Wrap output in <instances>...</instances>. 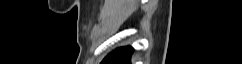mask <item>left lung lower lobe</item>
<instances>
[{"instance_id": "0a47b994", "label": "left lung lower lobe", "mask_w": 242, "mask_h": 64, "mask_svg": "<svg viewBox=\"0 0 242 64\" xmlns=\"http://www.w3.org/2000/svg\"><path fill=\"white\" fill-rule=\"evenodd\" d=\"M134 49L131 46L117 48L108 54L101 64H130V57Z\"/></svg>"}]
</instances>
